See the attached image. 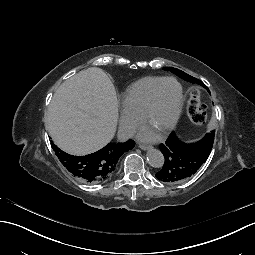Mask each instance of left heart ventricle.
Wrapping results in <instances>:
<instances>
[{"label":"left heart ventricle","mask_w":255,"mask_h":255,"mask_svg":"<svg viewBox=\"0 0 255 255\" xmlns=\"http://www.w3.org/2000/svg\"><path fill=\"white\" fill-rule=\"evenodd\" d=\"M178 86L173 82H168L160 89L155 108L143 123L147 131L162 135L166 126L171 121L178 102Z\"/></svg>","instance_id":"obj_1"}]
</instances>
